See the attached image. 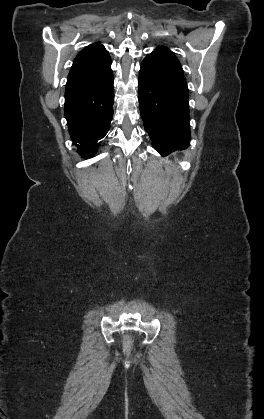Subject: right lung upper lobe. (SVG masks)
Here are the masks:
<instances>
[{"label":"right lung upper lobe","instance_id":"1","mask_svg":"<svg viewBox=\"0 0 264 419\" xmlns=\"http://www.w3.org/2000/svg\"><path fill=\"white\" fill-rule=\"evenodd\" d=\"M111 58L99 43L91 44L75 58L68 75L66 87L94 84L104 79L112 70Z\"/></svg>","mask_w":264,"mask_h":419}]
</instances>
